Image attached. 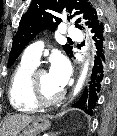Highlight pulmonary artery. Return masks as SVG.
Instances as JSON below:
<instances>
[{
	"label": "pulmonary artery",
	"mask_w": 117,
	"mask_h": 136,
	"mask_svg": "<svg viewBox=\"0 0 117 136\" xmlns=\"http://www.w3.org/2000/svg\"><path fill=\"white\" fill-rule=\"evenodd\" d=\"M65 36L74 40L81 39L80 31L75 28H68L66 30ZM43 47H44L43 43L40 42L32 44L23 53L22 60L37 65L42 54Z\"/></svg>",
	"instance_id": "1"
}]
</instances>
